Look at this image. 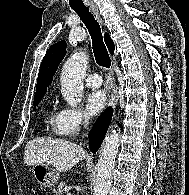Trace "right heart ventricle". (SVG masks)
<instances>
[{"label":"right heart ventricle","instance_id":"obj_1","mask_svg":"<svg viewBox=\"0 0 189 195\" xmlns=\"http://www.w3.org/2000/svg\"><path fill=\"white\" fill-rule=\"evenodd\" d=\"M45 129L48 133L62 135L59 129L60 112L55 104H51L45 115Z\"/></svg>","mask_w":189,"mask_h":195}]
</instances>
